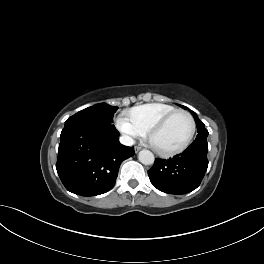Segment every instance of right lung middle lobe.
<instances>
[{
	"label": "right lung middle lobe",
	"mask_w": 264,
	"mask_h": 264,
	"mask_svg": "<svg viewBox=\"0 0 264 264\" xmlns=\"http://www.w3.org/2000/svg\"><path fill=\"white\" fill-rule=\"evenodd\" d=\"M118 107L110 106L105 103H99L88 107L69 117L66 125L83 124L97 127L114 128L113 116Z\"/></svg>",
	"instance_id": "right-lung-middle-lobe-1"
}]
</instances>
